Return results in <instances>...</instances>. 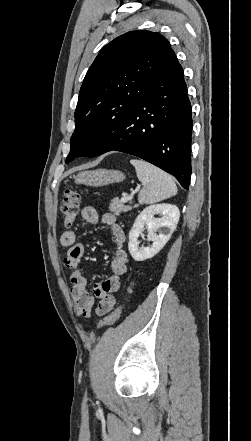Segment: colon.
Masks as SVG:
<instances>
[{"mask_svg": "<svg viewBox=\"0 0 251 441\" xmlns=\"http://www.w3.org/2000/svg\"><path fill=\"white\" fill-rule=\"evenodd\" d=\"M80 202V193L77 190L69 189L64 193V198L61 205V212L63 217V223L66 227L73 224L76 219ZM122 306L114 309L109 315L98 322L96 328L102 329L113 325L122 314Z\"/></svg>", "mask_w": 251, "mask_h": 441, "instance_id": "1", "label": "colon"}]
</instances>
